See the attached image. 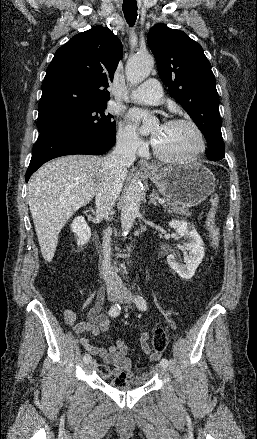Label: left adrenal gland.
<instances>
[{"label": "left adrenal gland", "instance_id": "left-adrenal-gland-1", "mask_svg": "<svg viewBox=\"0 0 257 439\" xmlns=\"http://www.w3.org/2000/svg\"><path fill=\"white\" fill-rule=\"evenodd\" d=\"M154 193L155 191H153L149 197V203L148 204H153L155 206H158V203L156 202L155 198H154Z\"/></svg>", "mask_w": 257, "mask_h": 439}]
</instances>
